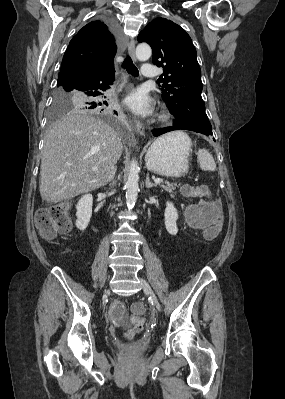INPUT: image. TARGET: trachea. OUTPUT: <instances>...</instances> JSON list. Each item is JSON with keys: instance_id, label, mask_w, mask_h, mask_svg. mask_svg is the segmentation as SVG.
Listing matches in <instances>:
<instances>
[{"instance_id": "obj_1", "label": "trachea", "mask_w": 285, "mask_h": 399, "mask_svg": "<svg viewBox=\"0 0 285 399\" xmlns=\"http://www.w3.org/2000/svg\"><path fill=\"white\" fill-rule=\"evenodd\" d=\"M123 67L127 70L129 74L134 77L139 76V71L136 66L133 64L132 59L130 57H126L123 62Z\"/></svg>"}]
</instances>
